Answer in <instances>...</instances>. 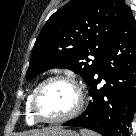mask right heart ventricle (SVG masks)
Instances as JSON below:
<instances>
[{
  "instance_id": "1",
  "label": "right heart ventricle",
  "mask_w": 136,
  "mask_h": 136,
  "mask_svg": "<svg viewBox=\"0 0 136 136\" xmlns=\"http://www.w3.org/2000/svg\"><path fill=\"white\" fill-rule=\"evenodd\" d=\"M35 89H33L30 94L27 96L26 98V102H25V115H26V120L28 123L30 124H34L36 123L37 121L33 118L32 116V113L30 111V101H31V97H32V94L34 92Z\"/></svg>"
}]
</instances>
